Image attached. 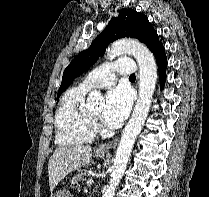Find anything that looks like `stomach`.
<instances>
[{"label":"stomach","instance_id":"obj_1","mask_svg":"<svg viewBox=\"0 0 209 197\" xmlns=\"http://www.w3.org/2000/svg\"><path fill=\"white\" fill-rule=\"evenodd\" d=\"M106 154H99L97 153V157L104 158ZM51 197H72L69 191L67 190H60L55 194H52Z\"/></svg>","mask_w":209,"mask_h":197}]
</instances>
